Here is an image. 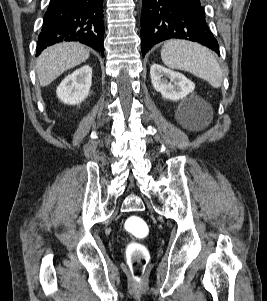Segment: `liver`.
I'll list each match as a JSON object with an SVG mask.
<instances>
[{"label": "liver", "instance_id": "obj_1", "mask_svg": "<svg viewBox=\"0 0 267 301\" xmlns=\"http://www.w3.org/2000/svg\"><path fill=\"white\" fill-rule=\"evenodd\" d=\"M89 56V50L80 43L63 42L48 47L36 63L40 86H48L65 71L85 62Z\"/></svg>", "mask_w": 267, "mask_h": 301}]
</instances>
